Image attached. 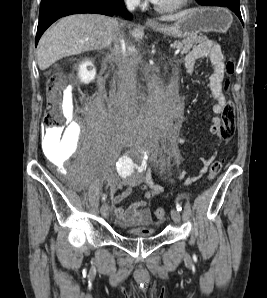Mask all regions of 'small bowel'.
I'll return each instance as SVG.
<instances>
[{
	"instance_id": "small-bowel-1",
	"label": "small bowel",
	"mask_w": 267,
	"mask_h": 298,
	"mask_svg": "<svg viewBox=\"0 0 267 298\" xmlns=\"http://www.w3.org/2000/svg\"><path fill=\"white\" fill-rule=\"evenodd\" d=\"M204 57H208L212 65L209 76V88L211 97L214 100L213 112L215 116L212 118L210 132L222 139V119L220 115L223 114L229 102L223 92L224 56L220 46L211 40L201 42L186 56L185 68L188 73H192L196 62ZM171 104L172 102L170 101L169 105ZM211 160L212 157L200 159L202 166L199 170V175L187 178L185 185L195 182L204 175ZM156 168L164 170V166H157ZM108 186L111 193V202L115 206L114 214L118 223L124 227H136L138 233H150L151 229L148 226L151 223L152 215L147 202L164 191L162 185L153 181L151 169H148L144 175L137 174L125 179L113 178L109 181ZM121 186H126V188L120 194H115L116 190ZM136 187H140L144 191L143 199L134 201L128 206L121 205V202L130 196Z\"/></svg>"
}]
</instances>
